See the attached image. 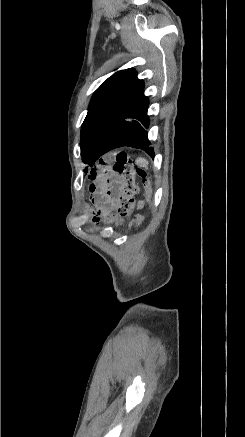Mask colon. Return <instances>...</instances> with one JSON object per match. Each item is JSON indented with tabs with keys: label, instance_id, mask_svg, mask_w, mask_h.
I'll use <instances>...</instances> for the list:
<instances>
[{
	"label": "colon",
	"instance_id": "colon-1",
	"mask_svg": "<svg viewBox=\"0 0 245 437\" xmlns=\"http://www.w3.org/2000/svg\"><path fill=\"white\" fill-rule=\"evenodd\" d=\"M112 170L119 173L123 179V187L118 200V213L121 216H126L134 210L141 208L142 203L136 199L138 188L135 183L136 175L143 178V182L150 194V180L146 172L134 165L128 154L121 152L116 156Z\"/></svg>",
	"mask_w": 245,
	"mask_h": 437
}]
</instances>
